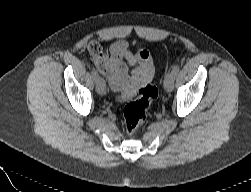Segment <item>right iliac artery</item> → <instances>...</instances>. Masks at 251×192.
<instances>
[{
	"label": "right iliac artery",
	"mask_w": 251,
	"mask_h": 192,
	"mask_svg": "<svg viewBox=\"0 0 251 192\" xmlns=\"http://www.w3.org/2000/svg\"><path fill=\"white\" fill-rule=\"evenodd\" d=\"M91 74H92L93 80L95 82H97L100 77H99V74L97 73V71L94 68H92Z\"/></svg>",
	"instance_id": "obj_1"
}]
</instances>
